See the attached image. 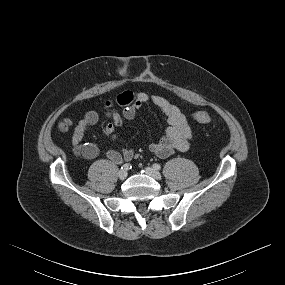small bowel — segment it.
<instances>
[{"mask_svg": "<svg viewBox=\"0 0 285 285\" xmlns=\"http://www.w3.org/2000/svg\"><path fill=\"white\" fill-rule=\"evenodd\" d=\"M152 103L158 107L166 116L168 127L164 130L158 141L149 145V150L160 158H166L175 151L185 152L189 149L192 140V129L188 123L184 112L175 104L163 96L149 94L146 92L125 91L121 93L114 101H107L105 104V116L110 122L105 126V132L113 142L117 141V130L122 126V117L131 120L134 118L136 110L144 104ZM118 105L123 108L122 115L114 110ZM99 113L95 110L87 111L82 120L76 125L72 136V147L75 155L80 158L91 160L98 153V147L93 143H83V139L89 129L98 123ZM108 159L114 163L131 160L134 155V149H108L105 152Z\"/></svg>", "mask_w": 285, "mask_h": 285, "instance_id": "obj_1", "label": "small bowel"}]
</instances>
